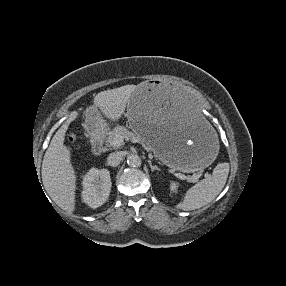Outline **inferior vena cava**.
Segmentation results:
<instances>
[{"mask_svg":"<svg viewBox=\"0 0 286 286\" xmlns=\"http://www.w3.org/2000/svg\"><path fill=\"white\" fill-rule=\"evenodd\" d=\"M122 160H123V154L122 152L118 151L109 154L107 158V163L112 167H116L120 164Z\"/></svg>","mask_w":286,"mask_h":286,"instance_id":"1","label":"inferior vena cava"}]
</instances>
